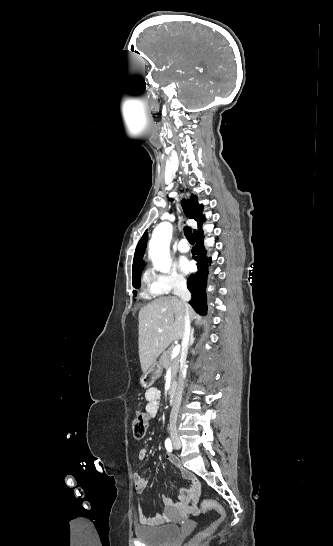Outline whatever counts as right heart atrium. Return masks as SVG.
<instances>
[{
  "instance_id": "obj_1",
  "label": "right heart atrium",
  "mask_w": 333,
  "mask_h": 546,
  "mask_svg": "<svg viewBox=\"0 0 333 546\" xmlns=\"http://www.w3.org/2000/svg\"><path fill=\"white\" fill-rule=\"evenodd\" d=\"M186 286L185 278L175 269L166 273H152L150 288L154 295H168L180 291Z\"/></svg>"
}]
</instances>
